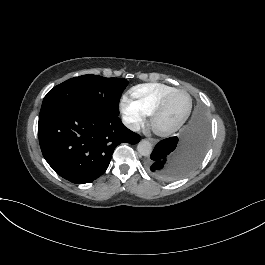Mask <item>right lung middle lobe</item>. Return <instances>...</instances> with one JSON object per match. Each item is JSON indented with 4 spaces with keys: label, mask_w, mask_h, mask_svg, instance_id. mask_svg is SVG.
<instances>
[{
    "label": "right lung middle lobe",
    "mask_w": 265,
    "mask_h": 265,
    "mask_svg": "<svg viewBox=\"0 0 265 265\" xmlns=\"http://www.w3.org/2000/svg\"><path fill=\"white\" fill-rule=\"evenodd\" d=\"M128 81L124 78H105L83 75L55 86L45 97L40 114L62 105H74L94 114L119 115V100Z\"/></svg>",
    "instance_id": "right-lung-middle-lobe-1"
}]
</instances>
